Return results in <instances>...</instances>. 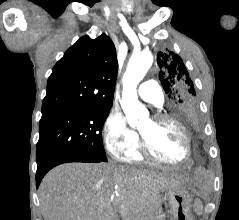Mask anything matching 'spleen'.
<instances>
[{"instance_id":"3e777b00","label":"spleen","mask_w":239,"mask_h":220,"mask_svg":"<svg viewBox=\"0 0 239 220\" xmlns=\"http://www.w3.org/2000/svg\"><path fill=\"white\" fill-rule=\"evenodd\" d=\"M195 211L198 215L202 214V204L199 200L195 201Z\"/></svg>"}]
</instances>
